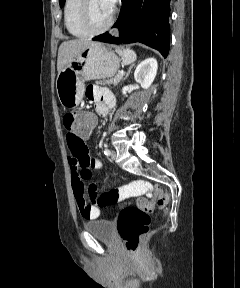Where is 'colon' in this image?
<instances>
[{
	"instance_id": "obj_1",
	"label": "colon",
	"mask_w": 240,
	"mask_h": 288,
	"mask_svg": "<svg viewBox=\"0 0 240 288\" xmlns=\"http://www.w3.org/2000/svg\"><path fill=\"white\" fill-rule=\"evenodd\" d=\"M94 116L85 111H71L64 115L63 125L67 135L82 137L89 134L94 127ZM133 193L151 191L153 199H139L136 205L123 206L118 219V231L123 240L125 249L130 254H135L140 246L142 237L147 233L151 213L154 207L163 208L167 205L168 194L157 185L146 182L134 183L131 188ZM121 200L119 189H111L101 195L92 193L90 202L99 207L115 204Z\"/></svg>"
}]
</instances>
